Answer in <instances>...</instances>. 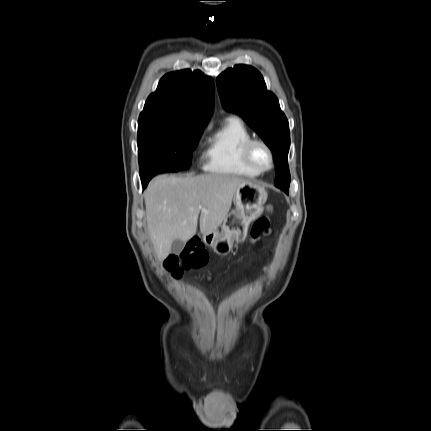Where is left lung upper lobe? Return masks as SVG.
I'll return each mask as SVG.
<instances>
[{
    "label": "left lung upper lobe",
    "instance_id": "5c2ea615",
    "mask_svg": "<svg viewBox=\"0 0 431 431\" xmlns=\"http://www.w3.org/2000/svg\"><path fill=\"white\" fill-rule=\"evenodd\" d=\"M217 86L225 109L240 114L272 151L276 165L274 184L288 193L290 134L277 97L266 89L261 74L248 65H236L221 73Z\"/></svg>",
    "mask_w": 431,
    "mask_h": 431
}]
</instances>
